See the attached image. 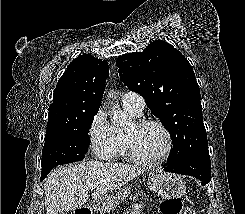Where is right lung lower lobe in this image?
<instances>
[{"label": "right lung lower lobe", "instance_id": "1", "mask_svg": "<svg viewBox=\"0 0 245 214\" xmlns=\"http://www.w3.org/2000/svg\"><path fill=\"white\" fill-rule=\"evenodd\" d=\"M46 175L42 176L41 177V181H43L45 179Z\"/></svg>", "mask_w": 245, "mask_h": 214}]
</instances>
